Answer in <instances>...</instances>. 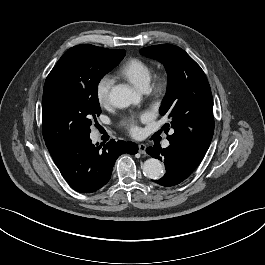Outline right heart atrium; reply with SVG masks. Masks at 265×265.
<instances>
[{
  "mask_svg": "<svg viewBox=\"0 0 265 265\" xmlns=\"http://www.w3.org/2000/svg\"><path fill=\"white\" fill-rule=\"evenodd\" d=\"M113 86V79L109 75L101 76L95 85L97 102L101 106H107L110 102V93Z\"/></svg>",
  "mask_w": 265,
  "mask_h": 265,
  "instance_id": "d8ad5b80",
  "label": "right heart atrium"
}]
</instances>
